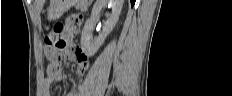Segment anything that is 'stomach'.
Wrapping results in <instances>:
<instances>
[{"instance_id":"obj_1","label":"stomach","mask_w":232,"mask_h":96,"mask_svg":"<svg viewBox=\"0 0 232 96\" xmlns=\"http://www.w3.org/2000/svg\"><path fill=\"white\" fill-rule=\"evenodd\" d=\"M73 0H52L48 12L49 20L61 17L72 5Z\"/></svg>"}]
</instances>
